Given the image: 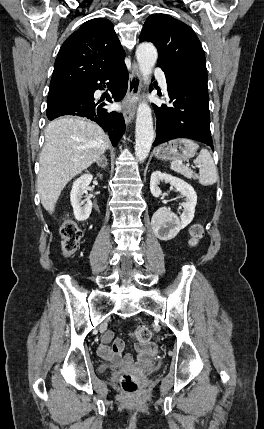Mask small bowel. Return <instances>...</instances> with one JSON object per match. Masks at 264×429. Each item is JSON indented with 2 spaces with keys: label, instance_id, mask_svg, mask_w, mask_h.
I'll return each mask as SVG.
<instances>
[{
  "label": "small bowel",
  "instance_id": "c3829d8e",
  "mask_svg": "<svg viewBox=\"0 0 264 429\" xmlns=\"http://www.w3.org/2000/svg\"><path fill=\"white\" fill-rule=\"evenodd\" d=\"M113 333L107 331L98 347V353L104 359L114 362L118 365L130 366L133 359L130 355H122L124 349V342L120 339L112 342ZM135 349L138 353V360L140 362H146L150 360L157 352V346L155 343H147L145 345H136Z\"/></svg>",
  "mask_w": 264,
  "mask_h": 429
}]
</instances>
